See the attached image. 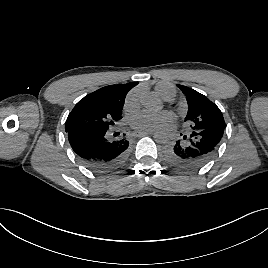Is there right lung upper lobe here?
I'll list each match as a JSON object with an SVG mask.
<instances>
[{
	"label": "right lung upper lobe",
	"instance_id": "1",
	"mask_svg": "<svg viewBox=\"0 0 268 268\" xmlns=\"http://www.w3.org/2000/svg\"><path fill=\"white\" fill-rule=\"evenodd\" d=\"M137 84L138 82H130L127 84L105 86L84 98H97L104 103L124 105L126 94Z\"/></svg>",
	"mask_w": 268,
	"mask_h": 268
}]
</instances>
